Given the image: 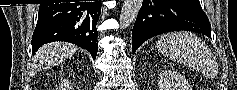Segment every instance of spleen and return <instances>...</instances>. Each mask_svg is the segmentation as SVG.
<instances>
[{
	"label": "spleen",
	"instance_id": "3e777b00",
	"mask_svg": "<svg viewBox=\"0 0 237 90\" xmlns=\"http://www.w3.org/2000/svg\"><path fill=\"white\" fill-rule=\"evenodd\" d=\"M159 52L177 64H186L203 76H208L215 66L213 54L196 34L192 32H170L157 42Z\"/></svg>",
	"mask_w": 237,
	"mask_h": 90
}]
</instances>
